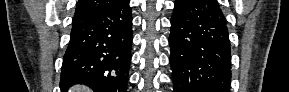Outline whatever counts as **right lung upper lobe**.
Here are the masks:
<instances>
[{"mask_svg":"<svg viewBox=\"0 0 289 92\" xmlns=\"http://www.w3.org/2000/svg\"><path fill=\"white\" fill-rule=\"evenodd\" d=\"M119 0H79L76 5L75 15L100 10L115 4Z\"/></svg>","mask_w":289,"mask_h":92,"instance_id":"cb5924a9","label":"right lung upper lobe"}]
</instances>
